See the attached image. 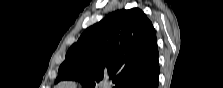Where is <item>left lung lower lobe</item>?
Returning a JSON list of instances; mask_svg holds the SVG:
<instances>
[{
    "mask_svg": "<svg viewBox=\"0 0 223 88\" xmlns=\"http://www.w3.org/2000/svg\"><path fill=\"white\" fill-rule=\"evenodd\" d=\"M159 63L154 61L152 65L129 83L125 88H158Z\"/></svg>",
    "mask_w": 223,
    "mask_h": 88,
    "instance_id": "0a47b994",
    "label": "left lung lower lobe"
}]
</instances>
